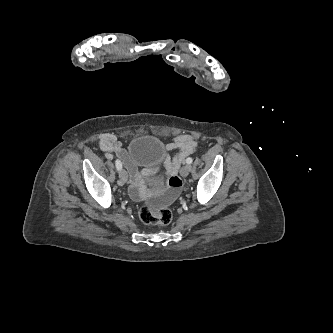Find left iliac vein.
I'll return each mask as SVG.
<instances>
[{"mask_svg": "<svg viewBox=\"0 0 333 333\" xmlns=\"http://www.w3.org/2000/svg\"><path fill=\"white\" fill-rule=\"evenodd\" d=\"M190 169H191L190 165H185V166H183V167L181 168V170H180V174H181V176H182V177H187L188 174H189V172H190Z\"/></svg>", "mask_w": 333, "mask_h": 333, "instance_id": "left-iliac-vein-1", "label": "left iliac vein"}]
</instances>
